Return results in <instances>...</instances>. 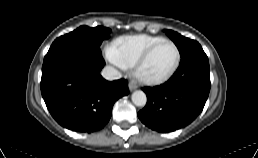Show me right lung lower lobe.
<instances>
[{
	"label": "right lung lower lobe",
	"instance_id": "98d812e1",
	"mask_svg": "<svg viewBox=\"0 0 258 158\" xmlns=\"http://www.w3.org/2000/svg\"><path fill=\"white\" fill-rule=\"evenodd\" d=\"M101 53L67 48L47 53L41 93L53 118L73 131L93 132L105 126L114 102L129 93L124 79L108 82L99 74Z\"/></svg>",
	"mask_w": 258,
	"mask_h": 158
}]
</instances>
